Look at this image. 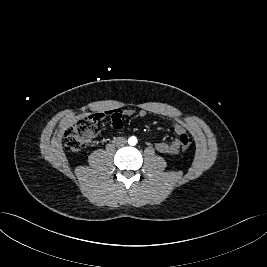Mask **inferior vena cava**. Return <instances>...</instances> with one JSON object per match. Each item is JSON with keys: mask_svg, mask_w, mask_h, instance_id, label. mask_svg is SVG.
<instances>
[{"mask_svg": "<svg viewBox=\"0 0 267 267\" xmlns=\"http://www.w3.org/2000/svg\"><path fill=\"white\" fill-rule=\"evenodd\" d=\"M115 142L118 146H124L127 143V140L124 137H118Z\"/></svg>", "mask_w": 267, "mask_h": 267, "instance_id": "inferior-vena-cava-1", "label": "inferior vena cava"}]
</instances>
